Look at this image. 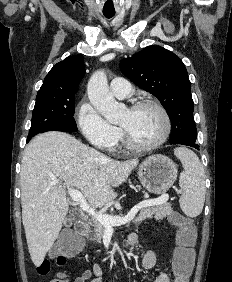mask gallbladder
<instances>
[{"instance_id":"gallbladder-1","label":"gallbladder","mask_w":232,"mask_h":282,"mask_svg":"<svg viewBox=\"0 0 232 282\" xmlns=\"http://www.w3.org/2000/svg\"><path fill=\"white\" fill-rule=\"evenodd\" d=\"M64 222L66 224H71L72 223V219L69 217V218H65Z\"/></svg>"}]
</instances>
